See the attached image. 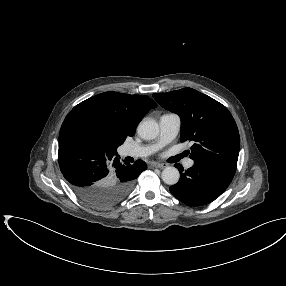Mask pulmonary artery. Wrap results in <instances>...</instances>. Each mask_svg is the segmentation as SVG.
Instances as JSON below:
<instances>
[{"label": "pulmonary artery", "mask_w": 286, "mask_h": 286, "mask_svg": "<svg viewBox=\"0 0 286 286\" xmlns=\"http://www.w3.org/2000/svg\"><path fill=\"white\" fill-rule=\"evenodd\" d=\"M160 132L156 141L149 145H128L124 148V154L131 157H145L159 148L170 143L179 133L181 119L175 113H166L159 120ZM193 165L192 160H187L186 167Z\"/></svg>", "instance_id": "obj_1"}]
</instances>
